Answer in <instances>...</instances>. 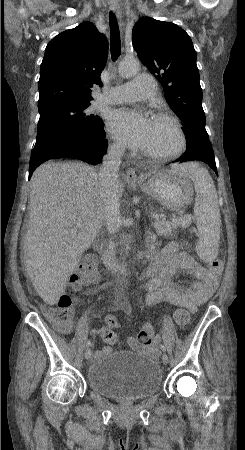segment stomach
<instances>
[{"label": "stomach", "instance_id": "stomach-1", "mask_svg": "<svg viewBox=\"0 0 245 450\" xmlns=\"http://www.w3.org/2000/svg\"><path fill=\"white\" fill-rule=\"evenodd\" d=\"M180 166L169 170H157L141 183L143 190L169 210H180L188 206L194 195L190 178L180 171Z\"/></svg>", "mask_w": 245, "mask_h": 450}]
</instances>
